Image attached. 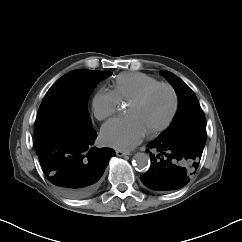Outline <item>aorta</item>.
Masks as SVG:
<instances>
[{"label":"aorta","instance_id":"obj_1","mask_svg":"<svg viewBox=\"0 0 242 242\" xmlns=\"http://www.w3.org/2000/svg\"><path fill=\"white\" fill-rule=\"evenodd\" d=\"M133 163L138 170L144 171L150 166V158L146 153L139 152L134 155Z\"/></svg>","mask_w":242,"mask_h":242}]
</instances>
